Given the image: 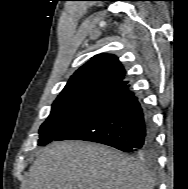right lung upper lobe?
I'll return each instance as SVG.
<instances>
[{"label": "right lung upper lobe", "instance_id": "right-lung-upper-lobe-1", "mask_svg": "<svg viewBox=\"0 0 188 189\" xmlns=\"http://www.w3.org/2000/svg\"><path fill=\"white\" fill-rule=\"evenodd\" d=\"M124 78L125 69L115 55L98 54L71 76L61 94L84 91L111 93L127 85Z\"/></svg>", "mask_w": 188, "mask_h": 189}]
</instances>
